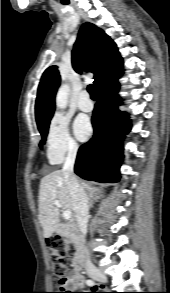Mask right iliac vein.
Returning a JSON list of instances; mask_svg holds the SVG:
<instances>
[{"label":"right iliac vein","instance_id":"63e3f726","mask_svg":"<svg viewBox=\"0 0 170 293\" xmlns=\"http://www.w3.org/2000/svg\"><path fill=\"white\" fill-rule=\"evenodd\" d=\"M89 275L93 278V279H96L97 281H100V282H107V277L106 275L101 272L100 270L94 268L90 271Z\"/></svg>","mask_w":170,"mask_h":293}]
</instances>
